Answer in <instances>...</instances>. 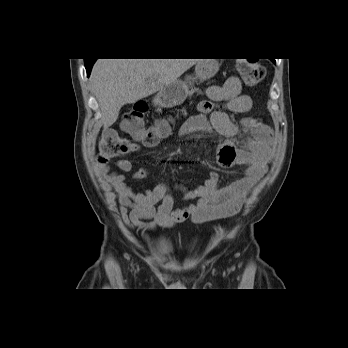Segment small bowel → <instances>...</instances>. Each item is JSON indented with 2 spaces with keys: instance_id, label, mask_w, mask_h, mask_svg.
Listing matches in <instances>:
<instances>
[{
  "instance_id": "small-bowel-1",
  "label": "small bowel",
  "mask_w": 348,
  "mask_h": 348,
  "mask_svg": "<svg viewBox=\"0 0 348 348\" xmlns=\"http://www.w3.org/2000/svg\"><path fill=\"white\" fill-rule=\"evenodd\" d=\"M205 94L207 100L199 103L198 114L183 123L179 135L186 137L212 128L224 138L217 148L218 162L224 167L244 166L243 176L228 186H220L218 174L212 172L203 184L194 188L176 186L173 190L166 183H161L155 189L136 192L126 184L123 174L132 170L129 160L117 161L119 171H111L109 165H101L99 172L114 187L122 219L129 228L147 232L157 227H171L187 218L194 223L229 218L238 213L250 190L264 176L272 157L273 131L252 118L238 124L228 116V112L247 113L252 107L251 97L242 93L240 80L231 76L223 85L209 86ZM242 127L250 135L245 146L237 148L228 139L237 136ZM141 148L140 144H130L129 152H137ZM148 175L149 170L141 168L134 172L133 177L141 179ZM175 191L182 193L185 200L193 202L175 208Z\"/></svg>"
}]
</instances>
